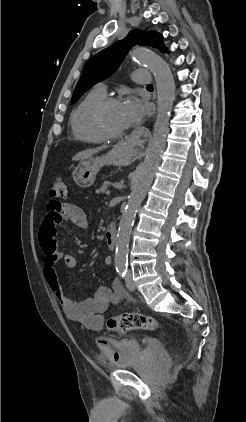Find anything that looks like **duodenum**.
I'll return each instance as SVG.
<instances>
[{
  "mask_svg": "<svg viewBox=\"0 0 246 422\" xmlns=\"http://www.w3.org/2000/svg\"><path fill=\"white\" fill-rule=\"evenodd\" d=\"M116 240H117V229L113 224H110L107 227L105 233V241L110 250H114L116 247Z\"/></svg>",
  "mask_w": 246,
  "mask_h": 422,
  "instance_id": "1",
  "label": "duodenum"
}]
</instances>
